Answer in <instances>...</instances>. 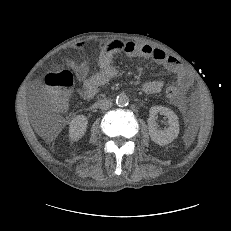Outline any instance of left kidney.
<instances>
[{"instance_id": "left-kidney-1", "label": "left kidney", "mask_w": 231, "mask_h": 231, "mask_svg": "<svg viewBox=\"0 0 231 231\" xmlns=\"http://www.w3.org/2000/svg\"><path fill=\"white\" fill-rule=\"evenodd\" d=\"M160 113L168 118L169 127L159 130L156 123V115ZM148 129L151 140L159 145H167L178 137L179 122L177 115L169 108L153 106L149 111Z\"/></svg>"}]
</instances>
